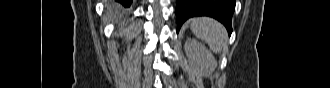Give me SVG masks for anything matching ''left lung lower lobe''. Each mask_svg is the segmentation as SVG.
Returning a JSON list of instances; mask_svg holds the SVG:
<instances>
[{"label": "left lung lower lobe", "instance_id": "1", "mask_svg": "<svg viewBox=\"0 0 330 88\" xmlns=\"http://www.w3.org/2000/svg\"><path fill=\"white\" fill-rule=\"evenodd\" d=\"M235 4V0H177V33L188 18L210 16L223 23L230 36L232 33L231 19Z\"/></svg>", "mask_w": 330, "mask_h": 88}]
</instances>
